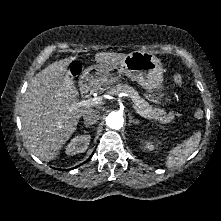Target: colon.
I'll return each mask as SVG.
<instances>
[{"label":"colon","mask_w":221,"mask_h":221,"mask_svg":"<svg viewBox=\"0 0 221 221\" xmlns=\"http://www.w3.org/2000/svg\"><path fill=\"white\" fill-rule=\"evenodd\" d=\"M79 71H80L79 67H76V66L73 67V72L75 74H78ZM173 80H174L175 84H177V85H181L183 83V78L179 74L174 75ZM193 115H194V118L201 119L204 115V112L202 109L198 108L194 111Z\"/></svg>","instance_id":"5ec220e1"}]
</instances>
